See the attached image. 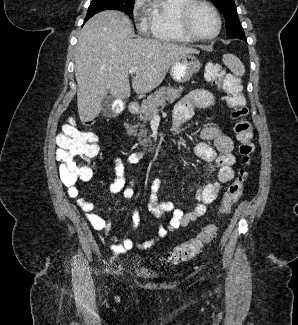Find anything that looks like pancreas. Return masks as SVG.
<instances>
[{
	"instance_id": "cf45deb5",
	"label": "pancreas",
	"mask_w": 298,
	"mask_h": 325,
	"mask_svg": "<svg viewBox=\"0 0 298 325\" xmlns=\"http://www.w3.org/2000/svg\"><path fill=\"white\" fill-rule=\"evenodd\" d=\"M183 90L184 86H160V88L155 90V92H153L151 96H148L146 100H142L139 120H143V122H146V120H151L155 112H158V110H161V108H165L168 102H174L176 98H180ZM140 126L141 128H139V132L136 130V128H138V124L129 126L127 130L128 134H137L138 140H140L142 144L151 142L150 138H147V128H143L145 124H140Z\"/></svg>"
}]
</instances>
